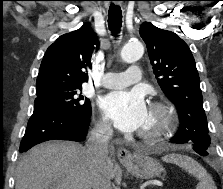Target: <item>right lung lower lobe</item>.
Masks as SVG:
<instances>
[{"mask_svg":"<svg viewBox=\"0 0 223 189\" xmlns=\"http://www.w3.org/2000/svg\"><path fill=\"white\" fill-rule=\"evenodd\" d=\"M90 114L91 112L86 116H78L61 108L34 106L20 144V152L48 140H84L90 124Z\"/></svg>","mask_w":223,"mask_h":189,"instance_id":"obj_1","label":"right lung lower lobe"}]
</instances>
